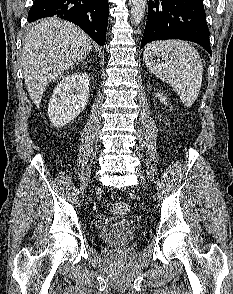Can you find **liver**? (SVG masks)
I'll use <instances>...</instances> for the list:
<instances>
[{"mask_svg":"<svg viewBox=\"0 0 233 294\" xmlns=\"http://www.w3.org/2000/svg\"><path fill=\"white\" fill-rule=\"evenodd\" d=\"M91 48V38L73 23L51 17L31 24L23 41L22 67L27 91L37 107L46 86Z\"/></svg>","mask_w":233,"mask_h":294,"instance_id":"liver-1","label":"liver"}]
</instances>
